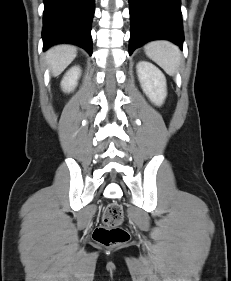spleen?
<instances>
[{"mask_svg":"<svg viewBox=\"0 0 231 281\" xmlns=\"http://www.w3.org/2000/svg\"><path fill=\"white\" fill-rule=\"evenodd\" d=\"M146 55L157 63L164 71L175 75L181 61L178 47L168 41H153L144 47Z\"/></svg>","mask_w":231,"mask_h":281,"instance_id":"3e777b00","label":"spleen"}]
</instances>
